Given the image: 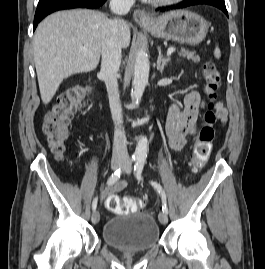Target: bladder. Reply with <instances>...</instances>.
<instances>
[{
    "label": "bladder",
    "instance_id": "obj_1",
    "mask_svg": "<svg viewBox=\"0 0 265 269\" xmlns=\"http://www.w3.org/2000/svg\"><path fill=\"white\" fill-rule=\"evenodd\" d=\"M103 241L122 251H146L160 240V230L155 218L148 213L118 215L103 227Z\"/></svg>",
    "mask_w": 265,
    "mask_h": 269
}]
</instances>
